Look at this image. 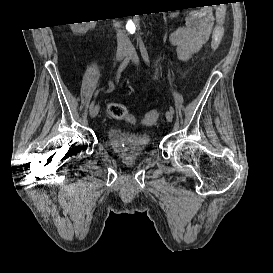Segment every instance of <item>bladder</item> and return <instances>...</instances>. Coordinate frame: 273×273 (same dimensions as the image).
I'll return each instance as SVG.
<instances>
[{
	"label": "bladder",
	"mask_w": 273,
	"mask_h": 273,
	"mask_svg": "<svg viewBox=\"0 0 273 273\" xmlns=\"http://www.w3.org/2000/svg\"><path fill=\"white\" fill-rule=\"evenodd\" d=\"M108 147L113 154L123 160H132L144 154L151 144L146 133L127 132L116 128L106 132Z\"/></svg>",
	"instance_id": "bladder-1"
}]
</instances>
